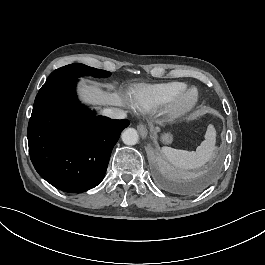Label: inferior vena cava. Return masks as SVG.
I'll return each mask as SVG.
<instances>
[{
	"label": "inferior vena cava",
	"instance_id": "1",
	"mask_svg": "<svg viewBox=\"0 0 265 265\" xmlns=\"http://www.w3.org/2000/svg\"><path fill=\"white\" fill-rule=\"evenodd\" d=\"M103 114L114 119H125L126 113L116 108H108L103 111Z\"/></svg>",
	"mask_w": 265,
	"mask_h": 265
}]
</instances>
